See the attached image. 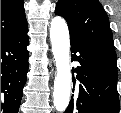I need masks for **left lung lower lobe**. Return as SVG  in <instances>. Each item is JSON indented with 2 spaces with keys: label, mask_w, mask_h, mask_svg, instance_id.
<instances>
[{
  "label": "left lung lower lobe",
  "mask_w": 121,
  "mask_h": 113,
  "mask_svg": "<svg viewBox=\"0 0 121 113\" xmlns=\"http://www.w3.org/2000/svg\"><path fill=\"white\" fill-rule=\"evenodd\" d=\"M70 42L72 61L78 62L73 71L81 84L79 92L72 95L64 113H119L117 70L91 53L79 41L70 38Z\"/></svg>",
  "instance_id": "obj_1"
}]
</instances>
